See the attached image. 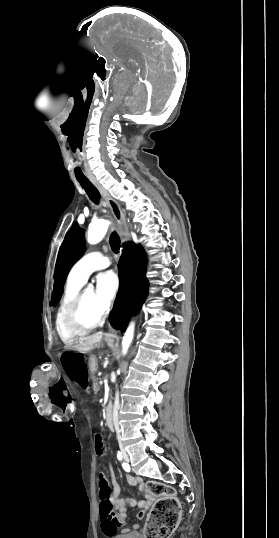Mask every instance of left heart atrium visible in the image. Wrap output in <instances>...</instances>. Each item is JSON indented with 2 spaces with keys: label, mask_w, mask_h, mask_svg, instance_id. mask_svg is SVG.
Returning <instances> with one entry per match:
<instances>
[{
  "label": "left heart atrium",
  "mask_w": 279,
  "mask_h": 538,
  "mask_svg": "<svg viewBox=\"0 0 279 538\" xmlns=\"http://www.w3.org/2000/svg\"><path fill=\"white\" fill-rule=\"evenodd\" d=\"M119 289V278L115 271L109 270L97 276V300L105 312L111 306Z\"/></svg>",
  "instance_id": "39dd6f15"
}]
</instances>
